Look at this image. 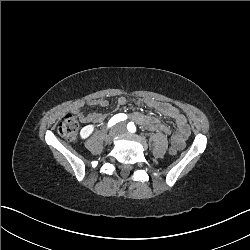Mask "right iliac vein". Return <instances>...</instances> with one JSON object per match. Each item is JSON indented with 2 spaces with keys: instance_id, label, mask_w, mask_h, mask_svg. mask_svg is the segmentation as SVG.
Wrapping results in <instances>:
<instances>
[{
  "instance_id": "1",
  "label": "right iliac vein",
  "mask_w": 250,
  "mask_h": 250,
  "mask_svg": "<svg viewBox=\"0 0 250 250\" xmlns=\"http://www.w3.org/2000/svg\"><path fill=\"white\" fill-rule=\"evenodd\" d=\"M120 133V129L119 128H113L110 133L107 135L106 137V142L107 143H111L113 141V139Z\"/></svg>"
}]
</instances>
